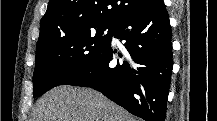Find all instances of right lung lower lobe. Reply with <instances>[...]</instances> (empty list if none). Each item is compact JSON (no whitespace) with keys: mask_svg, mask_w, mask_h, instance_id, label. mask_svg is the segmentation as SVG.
I'll use <instances>...</instances> for the list:
<instances>
[{"mask_svg":"<svg viewBox=\"0 0 217 121\" xmlns=\"http://www.w3.org/2000/svg\"><path fill=\"white\" fill-rule=\"evenodd\" d=\"M101 57L69 85L91 87L145 121H164L172 74V33L163 0H147L123 18ZM119 57V58H117Z\"/></svg>","mask_w":217,"mask_h":121,"instance_id":"1","label":"right lung lower lobe"}]
</instances>
